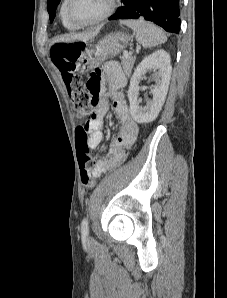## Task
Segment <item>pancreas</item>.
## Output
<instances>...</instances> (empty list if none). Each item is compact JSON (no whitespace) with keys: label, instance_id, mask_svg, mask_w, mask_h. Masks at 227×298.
Masks as SVG:
<instances>
[{"label":"pancreas","instance_id":"cf45deb5","mask_svg":"<svg viewBox=\"0 0 227 298\" xmlns=\"http://www.w3.org/2000/svg\"><path fill=\"white\" fill-rule=\"evenodd\" d=\"M135 57L129 56L122 60V67L124 72L129 75L131 73V70L133 68V65L135 63Z\"/></svg>","mask_w":227,"mask_h":298}]
</instances>
